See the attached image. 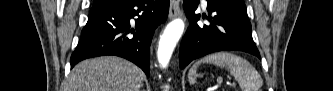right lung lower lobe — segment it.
<instances>
[{
	"label": "right lung lower lobe",
	"instance_id": "98d812e1",
	"mask_svg": "<svg viewBox=\"0 0 333 91\" xmlns=\"http://www.w3.org/2000/svg\"><path fill=\"white\" fill-rule=\"evenodd\" d=\"M169 0H125L92 8L81 39L71 56V68L79 61L103 55L126 58L149 77V47L157 26L167 19ZM135 19L131 27L130 19Z\"/></svg>",
	"mask_w": 333,
	"mask_h": 91
}]
</instances>
